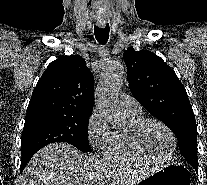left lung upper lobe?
<instances>
[{
  "label": "left lung upper lobe",
  "instance_id": "1",
  "mask_svg": "<svg viewBox=\"0 0 207 185\" xmlns=\"http://www.w3.org/2000/svg\"><path fill=\"white\" fill-rule=\"evenodd\" d=\"M123 57L134 98L174 132L186 161L197 162L195 116L187 92L175 72L150 51H135L129 47Z\"/></svg>",
  "mask_w": 207,
  "mask_h": 185
}]
</instances>
